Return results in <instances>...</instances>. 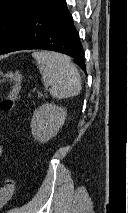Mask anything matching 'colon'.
<instances>
[{"mask_svg":"<svg viewBox=\"0 0 128 213\" xmlns=\"http://www.w3.org/2000/svg\"><path fill=\"white\" fill-rule=\"evenodd\" d=\"M22 74L19 70L1 71L0 70V84L9 83L11 85L10 93L0 101V109L10 111L15 107V103L19 98V91L21 88ZM15 192V181L13 179H6L4 186L0 188V208L7 203Z\"/></svg>","mask_w":128,"mask_h":213,"instance_id":"colon-1","label":"colon"}]
</instances>
